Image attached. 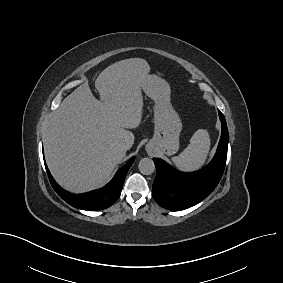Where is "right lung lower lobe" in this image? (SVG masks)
<instances>
[{
	"instance_id": "98d812e1",
	"label": "right lung lower lobe",
	"mask_w": 283,
	"mask_h": 283,
	"mask_svg": "<svg viewBox=\"0 0 283 283\" xmlns=\"http://www.w3.org/2000/svg\"><path fill=\"white\" fill-rule=\"evenodd\" d=\"M134 159L135 157H132L106 186L85 194H72L65 191L53 179L46 164L45 166L52 187L64 201L75 208L98 211L110 207L119 198L124 179Z\"/></svg>"
}]
</instances>
